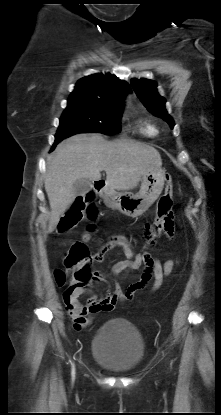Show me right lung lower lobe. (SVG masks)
<instances>
[{
  "label": "right lung lower lobe",
  "mask_w": 221,
  "mask_h": 415,
  "mask_svg": "<svg viewBox=\"0 0 221 415\" xmlns=\"http://www.w3.org/2000/svg\"><path fill=\"white\" fill-rule=\"evenodd\" d=\"M58 142L59 141H57V140H55V143H54V145H53V147H52V149L58 144Z\"/></svg>",
  "instance_id": "98d812e1"
}]
</instances>
